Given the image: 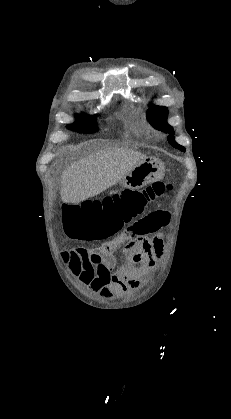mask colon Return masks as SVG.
I'll return each instance as SVG.
<instances>
[{
	"label": "colon",
	"instance_id": "colon-1",
	"mask_svg": "<svg viewBox=\"0 0 231 419\" xmlns=\"http://www.w3.org/2000/svg\"><path fill=\"white\" fill-rule=\"evenodd\" d=\"M172 186L156 182L146 188L125 189L102 200L64 205V226L72 236L103 241L118 234L126 224L142 214L145 206Z\"/></svg>",
	"mask_w": 231,
	"mask_h": 419
}]
</instances>
